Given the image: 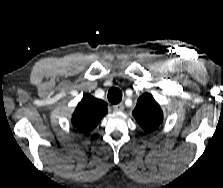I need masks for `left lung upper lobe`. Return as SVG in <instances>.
I'll use <instances>...</instances> for the list:
<instances>
[{"label": "left lung upper lobe", "mask_w": 223, "mask_h": 188, "mask_svg": "<svg viewBox=\"0 0 223 188\" xmlns=\"http://www.w3.org/2000/svg\"><path fill=\"white\" fill-rule=\"evenodd\" d=\"M132 114L138 124L147 132L155 131L163 121V112L149 93H144L139 97Z\"/></svg>", "instance_id": "left-lung-upper-lobe-1"}]
</instances>
